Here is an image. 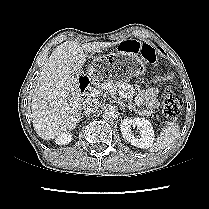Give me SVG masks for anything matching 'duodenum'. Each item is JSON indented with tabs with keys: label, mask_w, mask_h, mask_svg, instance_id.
Returning a JSON list of instances; mask_svg holds the SVG:
<instances>
[{
	"label": "duodenum",
	"mask_w": 209,
	"mask_h": 209,
	"mask_svg": "<svg viewBox=\"0 0 209 209\" xmlns=\"http://www.w3.org/2000/svg\"><path fill=\"white\" fill-rule=\"evenodd\" d=\"M75 82H76V84H77V86H78V88H79V90L81 92H85L88 89L89 85H90L89 78H87L84 75L76 76Z\"/></svg>",
	"instance_id": "1"
}]
</instances>
